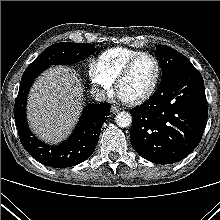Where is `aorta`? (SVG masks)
<instances>
[{
	"instance_id": "obj_1",
	"label": "aorta",
	"mask_w": 220,
	"mask_h": 220,
	"mask_svg": "<svg viewBox=\"0 0 220 220\" xmlns=\"http://www.w3.org/2000/svg\"><path fill=\"white\" fill-rule=\"evenodd\" d=\"M115 121L119 127L126 128L131 125L132 117L130 113L122 111L116 115Z\"/></svg>"
}]
</instances>
